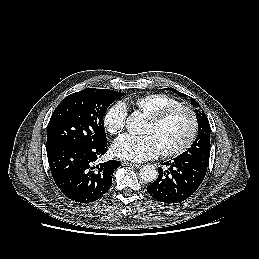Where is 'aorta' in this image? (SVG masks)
Listing matches in <instances>:
<instances>
[{
  "label": "aorta",
  "instance_id": "aorta-1",
  "mask_svg": "<svg viewBox=\"0 0 259 259\" xmlns=\"http://www.w3.org/2000/svg\"><path fill=\"white\" fill-rule=\"evenodd\" d=\"M145 120L140 112H133L126 120V128L132 135L141 134ZM140 177L146 182L155 181L158 177V171L154 165L146 164L140 169Z\"/></svg>",
  "mask_w": 259,
  "mask_h": 259
}]
</instances>
